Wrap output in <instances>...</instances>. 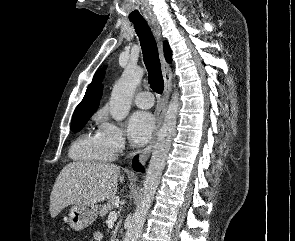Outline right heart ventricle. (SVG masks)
Returning a JSON list of instances; mask_svg holds the SVG:
<instances>
[{
    "label": "right heart ventricle",
    "mask_w": 295,
    "mask_h": 241,
    "mask_svg": "<svg viewBox=\"0 0 295 241\" xmlns=\"http://www.w3.org/2000/svg\"><path fill=\"white\" fill-rule=\"evenodd\" d=\"M72 159L81 162L101 163L113 159L114 155L103 134L86 132L80 135L70 149Z\"/></svg>",
    "instance_id": "e07e8e85"
}]
</instances>
